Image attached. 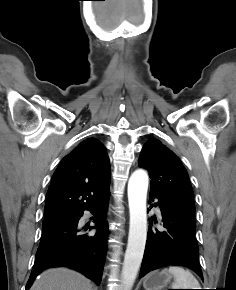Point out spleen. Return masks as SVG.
<instances>
[{
    "label": "spleen",
    "mask_w": 236,
    "mask_h": 290,
    "mask_svg": "<svg viewBox=\"0 0 236 290\" xmlns=\"http://www.w3.org/2000/svg\"><path fill=\"white\" fill-rule=\"evenodd\" d=\"M162 273L170 274L174 277L172 289H200V284L193 274L180 266H170L163 269Z\"/></svg>",
    "instance_id": "spleen-1"
}]
</instances>
